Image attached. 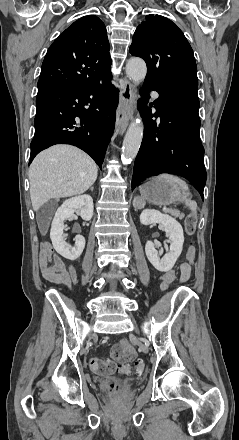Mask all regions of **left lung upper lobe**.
Listing matches in <instances>:
<instances>
[{"mask_svg": "<svg viewBox=\"0 0 239 440\" xmlns=\"http://www.w3.org/2000/svg\"><path fill=\"white\" fill-rule=\"evenodd\" d=\"M129 51L145 60V80L158 85L184 83L198 86L193 50L171 20L161 15H147L137 27Z\"/></svg>", "mask_w": 239, "mask_h": 440, "instance_id": "5c2ea615", "label": "left lung upper lobe"}]
</instances>
